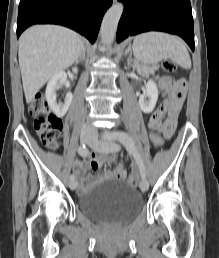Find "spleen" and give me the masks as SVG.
<instances>
[{
	"mask_svg": "<svg viewBox=\"0 0 219 258\" xmlns=\"http://www.w3.org/2000/svg\"><path fill=\"white\" fill-rule=\"evenodd\" d=\"M133 54L143 64L171 59L185 69L191 68V59L185 43L179 37L163 32H146L133 41Z\"/></svg>",
	"mask_w": 219,
	"mask_h": 258,
	"instance_id": "obj_1",
	"label": "spleen"
}]
</instances>
